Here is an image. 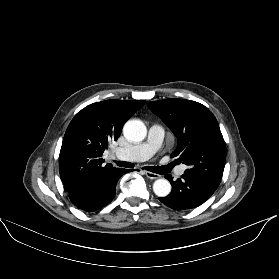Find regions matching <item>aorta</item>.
<instances>
[{"label":"aorta","mask_w":279,"mask_h":279,"mask_svg":"<svg viewBox=\"0 0 279 279\" xmlns=\"http://www.w3.org/2000/svg\"><path fill=\"white\" fill-rule=\"evenodd\" d=\"M123 134L129 141H142L146 136V126L140 120H129L124 125ZM153 191L159 197H166L171 192V184L166 179H157L153 184Z\"/></svg>","instance_id":"aorta-1"}]
</instances>
